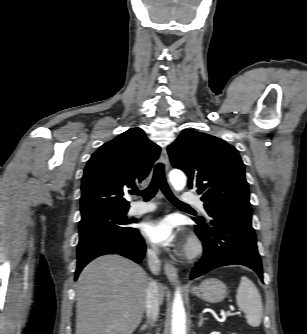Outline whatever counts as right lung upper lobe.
<instances>
[{
  "label": "right lung upper lobe",
  "mask_w": 307,
  "mask_h": 334,
  "mask_svg": "<svg viewBox=\"0 0 307 334\" xmlns=\"http://www.w3.org/2000/svg\"><path fill=\"white\" fill-rule=\"evenodd\" d=\"M160 147L140 128H132L102 145L88 161L82 177V216L102 211L127 212L123 198L136 187L158 159Z\"/></svg>",
  "instance_id": "1"
}]
</instances>
